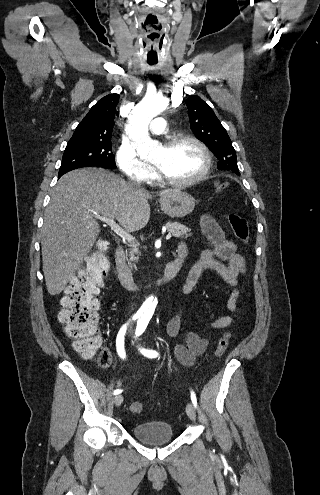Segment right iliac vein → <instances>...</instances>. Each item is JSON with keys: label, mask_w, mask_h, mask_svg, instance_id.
<instances>
[{"label": "right iliac vein", "mask_w": 320, "mask_h": 495, "mask_svg": "<svg viewBox=\"0 0 320 495\" xmlns=\"http://www.w3.org/2000/svg\"><path fill=\"white\" fill-rule=\"evenodd\" d=\"M123 402V396L122 395H116L114 398V403L116 406H120Z\"/></svg>", "instance_id": "1"}]
</instances>
